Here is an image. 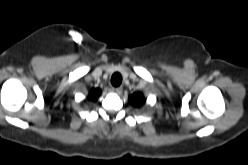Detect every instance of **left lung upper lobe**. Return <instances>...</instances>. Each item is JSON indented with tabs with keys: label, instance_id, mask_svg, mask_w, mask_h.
I'll return each instance as SVG.
<instances>
[{
	"label": "left lung upper lobe",
	"instance_id": "left-lung-upper-lobe-1",
	"mask_svg": "<svg viewBox=\"0 0 248 165\" xmlns=\"http://www.w3.org/2000/svg\"><path fill=\"white\" fill-rule=\"evenodd\" d=\"M144 102L145 99L142 93H134L130 96V103L135 107L141 106Z\"/></svg>",
	"mask_w": 248,
	"mask_h": 165
}]
</instances>
